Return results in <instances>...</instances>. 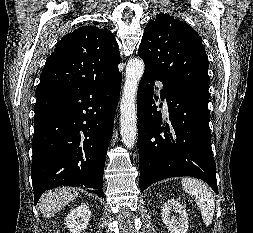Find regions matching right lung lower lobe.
Masks as SVG:
<instances>
[{
  "label": "right lung lower lobe",
  "mask_w": 253,
  "mask_h": 233,
  "mask_svg": "<svg viewBox=\"0 0 253 233\" xmlns=\"http://www.w3.org/2000/svg\"><path fill=\"white\" fill-rule=\"evenodd\" d=\"M121 86L119 71L37 97L32 141L34 204L46 190L85 186L104 197L103 172Z\"/></svg>",
  "instance_id": "98d812e1"
}]
</instances>
